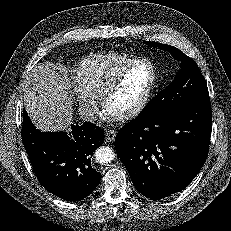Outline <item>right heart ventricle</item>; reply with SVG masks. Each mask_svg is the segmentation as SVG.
<instances>
[{"label": "right heart ventricle", "mask_w": 231, "mask_h": 231, "mask_svg": "<svg viewBox=\"0 0 231 231\" xmlns=\"http://www.w3.org/2000/svg\"><path fill=\"white\" fill-rule=\"evenodd\" d=\"M139 59L126 53H101L84 58L76 67L75 80L93 98L125 67Z\"/></svg>", "instance_id": "e07e8e85"}]
</instances>
